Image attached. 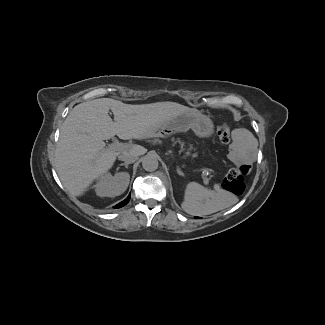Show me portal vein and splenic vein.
Wrapping results in <instances>:
<instances>
[{"label": "portal vein and splenic vein", "instance_id": "1", "mask_svg": "<svg viewBox=\"0 0 325 325\" xmlns=\"http://www.w3.org/2000/svg\"><path fill=\"white\" fill-rule=\"evenodd\" d=\"M130 147H131V145L121 143V142H114L109 145V149H114V150H119V151H124ZM203 181H204V184H206V185L209 183V180L204 177H203Z\"/></svg>", "mask_w": 325, "mask_h": 325}]
</instances>
